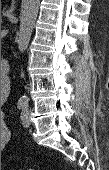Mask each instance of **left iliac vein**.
Returning <instances> with one entry per match:
<instances>
[{
	"label": "left iliac vein",
	"instance_id": "obj_1",
	"mask_svg": "<svg viewBox=\"0 0 109 170\" xmlns=\"http://www.w3.org/2000/svg\"><path fill=\"white\" fill-rule=\"evenodd\" d=\"M22 124L25 127H28L30 125V119L28 112L24 113L22 116Z\"/></svg>",
	"mask_w": 109,
	"mask_h": 170
}]
</instances>
